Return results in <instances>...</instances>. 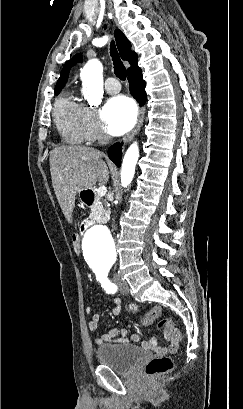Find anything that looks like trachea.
Listing matches in <instances>:
<instances>
[{
	"instance_id": "1",
	"label": "trachea",
	"mask_w": 243,
	"mask_h": 409,
	"mask_svg": "<svg viewBox=\"0 0 243 409\" xmlns=\"http://www.w3.org/2000/svg\"><path fill=\"white\" fill-rule=\"evenodd\" d=\"M110 53L113 60L114 72L116 76L121 80H125L127 76V71L122 61L120 60L114 41L111 42Z\"/></svg>"
}]
</instances>
